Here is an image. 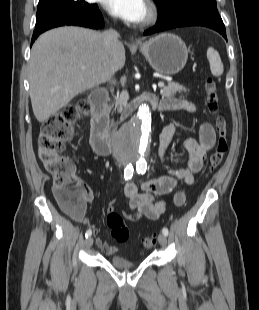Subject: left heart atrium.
<instances>
[{"mask_svg": "<svg viewBox=\"0 0 259 310\" xmlns=\"http://www.w3.org/2000/svg\"><path fill=\"white\" fill-rule=\"evenodd\" d=\"M106 10L125 21L138 23L142 21L145 11V0H103Z\"/></svg>", "mask_w": 259, "mask_h": 310, "instance_id": "left-heart-atrium-1", "label": "left heart atrium"}]
</instances>
